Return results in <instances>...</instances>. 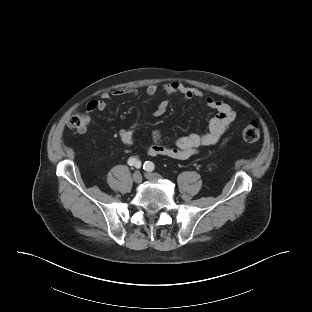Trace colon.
<instances>
[{
    "label": "colon",
    "mask_w": 312,
    "mask_h": 312,
    "mask_svg": "<svg viewBox=\"0 0 312 312\" xmlns=\"http://www.w3.org/2000/svg\"><path fill=\"white\" fill-rule=\"evenodd\" d=\"M67 124L70 128L82 131L89 124V118L82 112L73 113L69 116ZM260 137V126L257 121H252L241 131V138L248 143L257 141Z\"/></svg>",
    "instance_id": "obj_1"
}]
</instances>
